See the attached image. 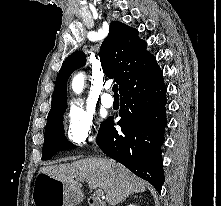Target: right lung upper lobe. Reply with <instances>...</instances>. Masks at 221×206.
Here are the masks:
<instances>
[{
	"label": "right lung upper lobe",
	"mask_w": 221,
	"mask_h": 206,
	"mask_svg": "<svg viewBox=\"0 0 221 206\" xmlns=\"http://www.w3.org/2000/svg\"><path fill=\"white\" fill-rule=\"evenodd\" d=\"M145 46V41L139 39L136 29L118 21L111 22L109 34L100 48V61L106 76L114 78L119 84V92L130 81L156 64L155 57L146 51ZM85 62L86 56L81 51L67 57L56 78L50 112L67 107V80L72 72L84 66Z\"/></svg>",
	"instance_id": "1"
}]
</instances>
